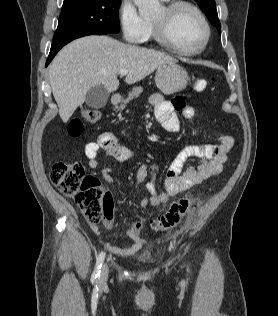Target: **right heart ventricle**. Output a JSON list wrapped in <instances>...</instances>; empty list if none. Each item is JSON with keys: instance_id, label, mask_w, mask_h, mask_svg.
I'll list each match as a JSON object with an SVG mask.
<instances>
[{"instance_id": "right-heart-ventricle-1", "label": "right heart ventricle", "mask_w": 278, "mask_h": 316, "mask_svg": "<svg viewBox=\"0 0 278 316\" xmlns=\"http://www.w3.org/2000/svg\"><path fill=\"white\" fill-rule=\"evenodd\" d=\"M156 39L154 36L153 26L151 21H147V32L143 41H151Z\"/></svg>"}]
</instances>
